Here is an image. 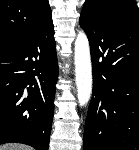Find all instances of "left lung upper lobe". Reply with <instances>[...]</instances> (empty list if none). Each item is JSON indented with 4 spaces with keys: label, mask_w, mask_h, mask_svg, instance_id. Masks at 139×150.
I'll list each match as a JSON object with an SVG mask.
<instances>
[{
    "label": "left lung upper lobe",
    "mask_w": 139,
    "mask_h": 150,
    "mask_svg": "<svg viewBox=\"0 0 139 150\" xmlns=\"http://www.w3.org/2000/svg\"><path fill=\"white\" fill-rule=\"evenodd\" d=\"M129 8L138 9L134 0H86L83 10H89L101 16H110Z\"/></svg>",
    "instance_id": "obj_1"
}]
</instances>
